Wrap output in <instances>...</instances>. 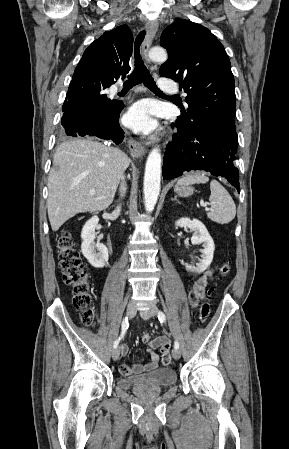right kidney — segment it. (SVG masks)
Here are the masks:
<instances>
[{"label":"right kidney","mask_w":289,"mask_h":449,"mask_svg":"<svg viewBox=\"0 0 289 449\" xmlns=\"http://www.w3.org/2000/svg\"><path fill=\"white\" fill-rule=\"evenodd\" d=\"M99 223V218L93 216L82 228L81 252L88 262L95 268H103L108 262V249L99 241L95 243V229Z\"/></svg>","instance_id":"right-kidney-1"}]
</instances>
